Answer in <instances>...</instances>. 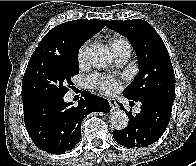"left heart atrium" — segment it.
Returning a JSON list of instances; mask_svg holds the SVG:
<instances>
[{
	"instance_id": "1",
	"label": "left heart atrium",
	"mask_w": 196,
	"mask_h": 166,
	"mask_svg": "<svg viewBox=\"0 0 196 166\" xmlns=\"http://www.w3.org/2000/svg\"><path fill=\"white\" fill-rule=\"evenodd\" d=\"M89 87L105 93H114L120 88V82L112 76L92 74L87 78Z\"/></svg>"
}]
</instances>
